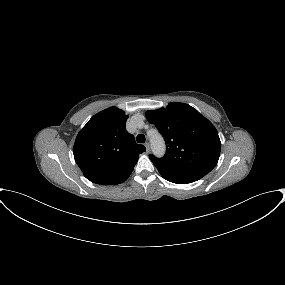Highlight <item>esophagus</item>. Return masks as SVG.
Wrapping results in <instances>:
<instances>
[{"label":"esophagus","mask_w":285,"mask_h":285,"mask_svg":"<svg viewBox=\"0 0 285 285\" xmlns=\"http://www.w3.org/2000/svg\"><path fill=\"white\" fill-rule=\"evenodd\" d=\"M144 146L146 147L147 152L150 150V144L148 142H146L144 144Z\"/></svg>","instance_id":"1"}]
</instances>
